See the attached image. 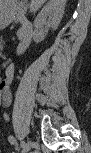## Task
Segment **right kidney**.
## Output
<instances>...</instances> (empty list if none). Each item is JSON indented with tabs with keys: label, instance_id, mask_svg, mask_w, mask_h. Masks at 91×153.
Returning a JSON list of instances; mask_svg holds the SVG:
<instances>
[{
	"label": "right kidney",
	"instance_id": "obj_1",
	"mask_svg": "<svg viewBox=\"0 0 91 153\" xmlns=\"http://www.w3.org/2000/svg\"><path fill=\"white\" fill-rule=\"evenodd\" d=\"M65 0H50L35 18L33 39L36 43L44 40L46 32L42 31L43 25L46 24V18L49 17V24L55 30L57 29L64 13Z\"/></svg>",
	"mask_w": 91,
	"mask_h": 153
}]
</instances>
